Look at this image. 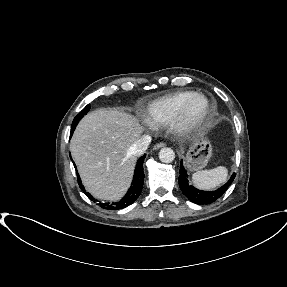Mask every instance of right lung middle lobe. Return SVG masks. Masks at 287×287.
<instances>
[{
    "label": "right lung middle lobe",
    "instance_id": "1",
    "mask_svg": "<svg viewBox=\"0 0 287 287\" xmlns=\"http://www.w3.org/2000/svg\"><path fill=\"white\" fill-rule=\"evenodd\" d=\"M90 109V105H87L73 120L72 122V127H71V130H74L76 125L78 124V122L80 121V119L82 117H84V115H86L88 113Z\"/></svg>",
    "mask_w": 287,
    "mask_h": 287
}]
</instances>
